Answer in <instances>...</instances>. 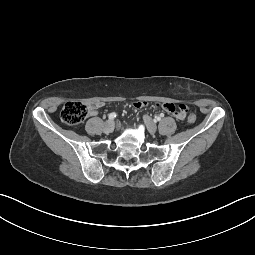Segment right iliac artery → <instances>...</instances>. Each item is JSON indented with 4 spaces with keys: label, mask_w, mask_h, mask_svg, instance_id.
Masks as SVG:
<instances>
[{
    "label": "right iliac artery",
    "mask_w": 255,
    "mask_h": 255,
    "mask_svg": "<svg viewBox=\"0 0 255 255\" xmlns=\"http://www.w3.org/2000/svg\"><path fill=\"white\" fill-rule=\"evenodd\" d=\"M116 117V113L112 112L108 115L109 120H113Z\"/></svg>",
    "instance_id": "82829eb1"
}]
</instances>
